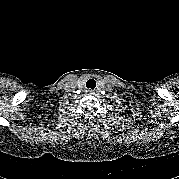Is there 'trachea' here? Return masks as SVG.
<instances>
[{"mask_svg": "<svg viewBox=\"0 0 179 179\" xmlns=\"http://www.w3.org/2000/svg\"><path fill=\"white\" fill-rule=\"evenodd\" d=\"M86 87L88 89L94 90L95 87H96V81L94 79H88L87 82H86Z\"/></svg>", "mask_w": 179, "mask_h": 179, "instance_id": "trachea-1", "label": "trachea"}]
</instances>
